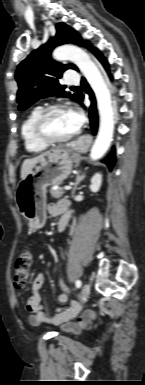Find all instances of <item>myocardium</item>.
Instances as JSON below:
<instances>
[{"instance_id":"f54148a6","label":"myocardium","mask_w":145,"mask_h":385,"mask_svg":"<svg viewBox=\"0 0 145 385\" xmlns=\"http://www.w3.org/2000/svg\"><path fill=\"white\" fill-rule=\"evenodd\" d=\"M60 110H67L66 106L62 104H53L50 106H47L43 108L40 113L37 115L34 124H33V134L34 136L42 143L46 145H53V144H61V143H67L71 141L72 139L76 138L79 135V130L74 132L73 134L64 137V138H54L52 137L46 129V123L49 118V116Z\"/></svg>"}]
</instances>
